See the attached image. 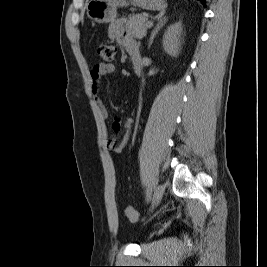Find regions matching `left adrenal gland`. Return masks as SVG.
I'll return each instance as SVG.
<instances>
[{"label":"left adrenal gland","instance_id":"a2214340","mask_svg":"<svg viewBox=\"0 0 267 267\" xmlns=\"http://www.w3.org/2000/svg\"><path fill=\"white\" fill-rule=\"evenodd\" d=\"M167 20H168V18L166 16L160 17V19L158 20L154 29L151 32V36H150L149 41H148V48L151 47L155 36L158 34L160 29L166 24Z\"/></svg>","mask_w":267,"mask_h":267}]
</instances>
